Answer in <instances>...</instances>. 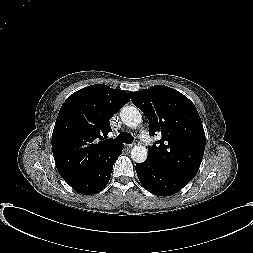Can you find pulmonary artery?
Here are the masks:
<instances>
[{"instance_id":"obj_1","label":"pulmonary artery","mask_w":253,"mask_h":253,"mask_svg":"<svg viewBox=\"0 0 253 253\" xmlns=\"http://www.w3.org/2000/svg\"><path fill=\"white\" fill-rule=\"evenodd\" d=\"M140 137L144 143L148 144L150 142V137L146 132L142 131Z\"/></svg>"}]
</instances>
